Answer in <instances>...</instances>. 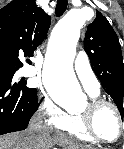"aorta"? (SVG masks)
<instances>
[{"mask_svg": "<svg viewBox=\"0 0 124 149\" xmlns=\"http://www.w3.org/2000/svg\"><path fill=\"white\" fill-rule=\"evenodd\" d=\"M83 10H70L55 26L43 70V83L56 101H68L78 109L84 101L73 70L80 30L85 24Z\"/></svg>", "mask_w": 124, "mask_h": 149, "instance_id": "762f6f07", "label": "aorta"}]
</instances>
